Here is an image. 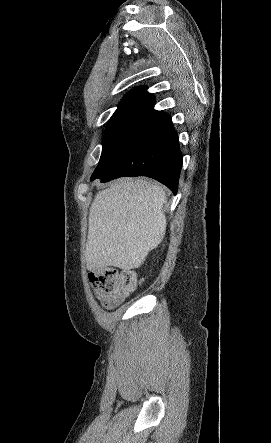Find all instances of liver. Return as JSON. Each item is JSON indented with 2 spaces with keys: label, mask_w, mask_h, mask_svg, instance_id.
I'll return each mask as SVG.
<instances>
[{
  "label": "liver",
  "mask_w": 271,
  "mask_h": 443,
  "mask_svg": "<svg viewBox=\"0 0 271 443\" xmlns=\"http://www.w3.org/2000/svg\"><path fill=\"white\" fill-rule=\"evenodd\" d=\"M166 194L145 178H121L96 194L88 218V269L140 267L161 243L167 227Z\"/></svg>",
  "instance_id": "liver-1"
}]
</instances>
